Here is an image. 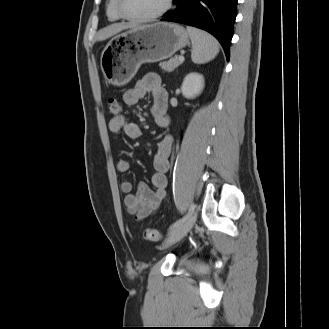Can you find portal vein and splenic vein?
Wrapping results in <instances>:
<instances>
[{
  "label": "portal vein and splenic vein",
  "mask_w": 329,
  "mask_h": 329,
  "mask_svg": "<svg viewBox=\"0 0 329 329\" xmlns=\"http://www.w3.org/2000/svg\"><path fill=\"white\" fill-rule=\"evenodd\" d=\"M179 61L183 62L184 61V57L183 56H179Z\"/></svg>",
  "instance_id": "18ae733b"
}]
</instances>
